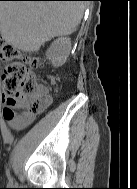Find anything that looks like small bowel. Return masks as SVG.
<instances>
[{
  "label": "small bowel",
  "mask_w": 137,
  "mask_h": 189,
  "mask_svg": "<svg viewBox=\"0 0 137 189\" xmlns=\"http://www.w3.org/2000/svg\"><path fill=\"white\" fill-rule=\"evenodd\" d=\"M48 80L51 84L55 82L53 77H49ZM35 94L40 99L41 107L39 109L50 105L51 97L46 87L35 84ZM14 109H19L20 112H16ZM3 116L14 130L21 131L33 122L35 112L28 109L25 97H14L7 100Z\"/></svg>",
  "instance_id": "1"
}]
</instances>
